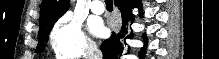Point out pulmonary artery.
Segmentation results:
<instances>
[{"mask_svg": "<svg viewBox=\"0 0 219 59\" xmlns=\"http://www.w3.org/2000/svg\"><path fill=\"white\" fill-rule=\"evenodd\" d=\"M91 11L95 14H102L105 11V6L101 0H94L90 4Z\"/></svg>", "mask_w": 219, "mask_h": 59, "instance_id": "e3ab8cb5", "label": "pulmonary artery"}]
</instances>
